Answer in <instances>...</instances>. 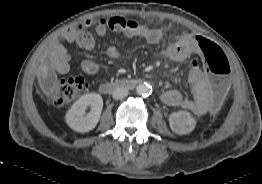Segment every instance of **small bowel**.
Here are the masks:
<instances>
[{"label":"small bowel","instance_id":"small-bowel-1","mask_svg":"<svg viewBox=\"0 0 262 184\" xmlns=\"http://www.w3.org/2000/svg\"><path fill=\"white\" fill-rule=\"evenodd\" d=\"M91 21L87 20L82 24L66 28L60 35V39L53 44L51 51V65L54 70L60 74L69 71V55L63 46V43H76L85 50H92L95 41L87 31ZM96 34L104 36L106 28L98 24ZM129 37H139L150 44H158L162 40L163 34L160 29L140 26L135 31L126 32ZM200 36L190 33H179L174 36L173 43L166 49V57L172 61H184L193 56L201 59V52L196 47V40ZM107 54L111 58H116L119 52L115 46L107 49ZM202 60V59H201ZM82 70L88 75H94L98 72V64L91 60L85 59L81 63ZM208 69L198 58H192L182 70H176L174 77L177 80H184V85L194 93L192 98L185 97L180 91L172 89L162 94V101L168 106L181 107L187 109L197 116L205 115L209 109L207 104L208 87L203 84L204 79L208 76Z\"/></svg>","mask_w":262,"mask_h":184}]
</instances>
